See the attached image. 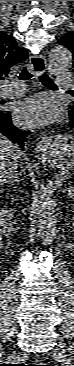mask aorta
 Wrapping results in <instances>:
<instances>
[{"mask_svg": "<svg viewBox=\"0 0 74 366\" xmlns=\"http://www.w3.org/2000/svg\"><path fill=\"white\" fill-rule=\"evenodd\" d=\"M72 65V54L62 45L53 46L48 53V69L60 74ZM57 215L51 199H43L37 211L38 235L44 244H51L56 235Z\"/></svg>", "mask_w": 74, "mask_h": 366, "instance_id": "1", "label": "aorta"}]
</instances>
